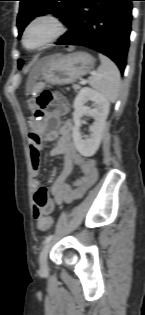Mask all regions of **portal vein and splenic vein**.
<instances>
[{"instance_id":"obj_1","label":"portal vein and splenic vein","mask_w":145,"mask_h":315,"mask_svg":"<svg viewBox=\"0 0 145 315\" xmlns=\"http://www.w3.org/2000/svg\"><path fill=\"white\" fill-rule=\"evenodd\" d=\"M80 84H81V85L86 84V80H85V79H82V80L80 81Z\"/></svg>"}]
</instances>
